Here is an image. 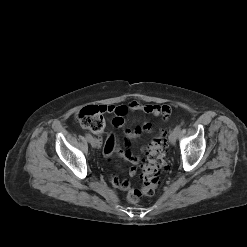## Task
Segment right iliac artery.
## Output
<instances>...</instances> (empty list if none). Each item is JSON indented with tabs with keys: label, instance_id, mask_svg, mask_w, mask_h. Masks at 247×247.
I'll return each instance as SVG.
<instances>
[{
	"label": "right iliac artery",
	"instance_id": "obj_1",
	"mask_svg": "<svg viewBox=\"0 0 247 247\" xmlns=\"http://www.w3.org/2000/svg\"><path fill=\"white\" fill-rule=\"evenodd\" d=\"M86 138H87L88 140H90V139L92 138V136H91L89 133H87V134H86Z\"/></svg>",
	"mask_w": 247,
	"mask_h": 247
}]
</instances>
